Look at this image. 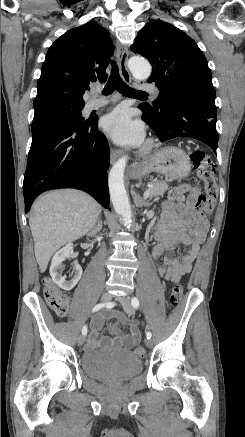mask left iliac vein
I'll return each instance as SVG.
<instances>
[{
	"label": "left iliac vein",
	"instance_id": "1",
	"mask_svg": "<svg viewBox=\"0 0 245 437\" xmlns=\"http://www.w3.org/2000/svg\"><path fill=\"white\" fill-rule=\"evenodd\" d=\"M117 300L121 303L124 311L128 314V315H133L134 314V308L130 302V298L127 296H123V297H119L117 298ZM146 346L147 347H151L153 345V342L151 339H146L145 340Z\"/></svg>",
	"mask_w": 245,
	"mask_h": 437
}]
</instances>
